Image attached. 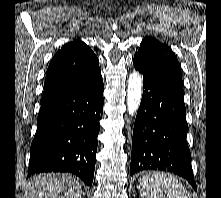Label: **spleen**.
<instances>
[{
	"label": "spleen",
	"mask_w": 221,
	"mask_h": 198,
	"mask_svg": "<svg viewBox=\"0 0 221 198\" xmlns=\"http://www.w3.org/2000/svg\"><path fill=\"white\" fill-rule=\"evenodd\" d=\"M137 188L143 198H191L177 177L166 172L149 173L139 179Z\"/></svg>",
	"instance_id": "spleen-1"
}]
</instances>
